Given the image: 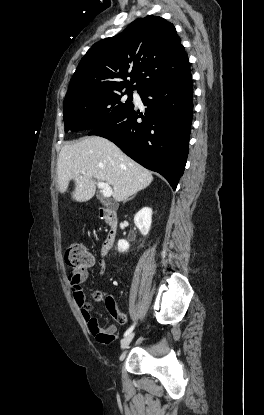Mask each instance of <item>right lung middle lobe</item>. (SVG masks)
Masks as SVG:
<instances>
[{"mask_svg": "<svg viewBox=\"0 0 264 415\" xmlns=\"http://www.w3.org/2000/svg\"><path fill=\"white\" fill-rule=\"evenodd\" d=\"M119 93L85 94L65 99V132L94 129L133 108L132 93H123L128 94L126 101L121 100Z\"/></svg>", "mask_w": 264, "mask_h": 415, "instance_id": "dd1d6c3e", "label": "right lung middle lobe"}]
</instances>
